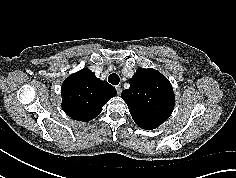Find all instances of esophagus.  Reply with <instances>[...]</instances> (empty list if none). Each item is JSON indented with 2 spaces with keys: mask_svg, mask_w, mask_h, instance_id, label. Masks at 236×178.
I'll use <instances>...</instances> for the list:
<instances>
[{
  "mask_svg": "<svg viewBox=\"0 0 236 178\" xmlns=\"http://www.w3.org/2000/svg\"><path fill=\"white\" fill-rule=\"evenodd\" d=\"M115 88H116L118 95H120L122 92V87L120 85H117Z\"/></svg>",
  "mask_w": 236,
  "mask_h": 178,
  "instance_id": "obj_1",
  "label": "esophagus"
}]
</instances>
